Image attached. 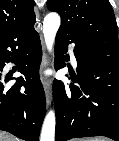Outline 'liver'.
I'll return each instance as SVG.
<instances>
[{"label": "liver", "instance_id": "liver-1", "mask_svg": "<svg viewBox=\"0 0 119 141\" xmlns=\"http://www.w3.org/2000/svg\"><path fill=\"white\" fill-rule=\"evenodd\" d=\"M0 141H17V139L8 133L0 132Z\"/></svg>", "mask_w": 119, "mask_h": 141}]
</instances>
